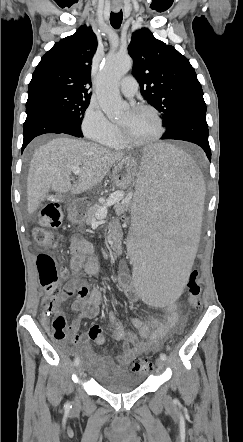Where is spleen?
<instances>
[{
  "label": "spleen",
  "instance_id": "obj_1",
  "mask_svg": "<svg viewBox=\"0 0 243 442\" xmlns=\"http://www.w3.org/2000/svg\"><path fill=\"white\" fill-rule=\"evenodd\" d=\"M134 179L128 241L135 296L149 307H170L185 291L195 251V231L202 226L205 178L194 161L168 144L141 147ZM157 192V193H142Z\"/></svg>",
  "mask_w": 243,
  "mask_h": 442
}]
</instances>
